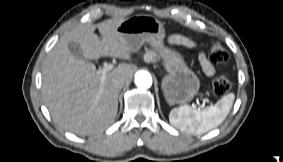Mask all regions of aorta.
<instances>
[{"instance_id": "1", "label": "aorta", "mask_w": 283, "mask_h": 162, "mask_svg": "<svg viewBox=\"0 0 283 162\" xmlns=\"http://www.w3.org/2000/svg\"><path fill=\"white\" fill-rule=\"evenodd\" d=\"M135 84L140 89H148L152 85V77L147 71H138L135 74Z\"/></svg>"}]
</instances>
